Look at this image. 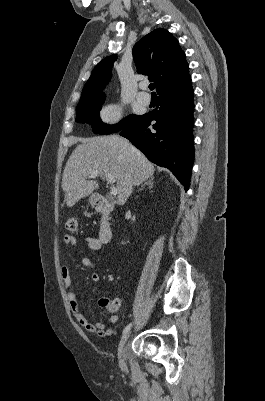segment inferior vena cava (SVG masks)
<instances>
[{
  "instance_id": "inferior-vena-cava-1",
  "label": "inferior vena cava",
  "mask_w": 265,
  "mask_h": 401,
  "mask_svg": "<svg viewBox=\"0 0 265 401\" xmlns=\"http://www.w3.org/2000/svg\"><path fill=\"white\" fill-rule=\"evenodd\" d=\"M130 192H132V186H128V188L126 190V194H130Z\"/></svg>"
}]
</instances>
